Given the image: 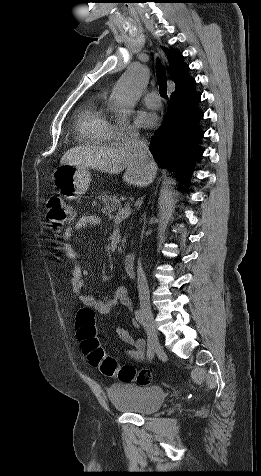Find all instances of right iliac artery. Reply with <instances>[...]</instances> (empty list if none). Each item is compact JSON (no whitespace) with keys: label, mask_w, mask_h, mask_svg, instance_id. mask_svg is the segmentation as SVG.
Instances as JSON below:
<instances>
[{"label":"right iliac artery","mask_w":261,"mask_h":476,"mask_svg":"<svg viewBox=\"0 0 261 476\" xmlns=\"http://www.w3.org/2000/svg\"><path fill=\"white\" fill-rule=\"evenodd\" d=\"M135 318L146 329L145 330V335H147V337H148L147 356H148L149 359H153L154 354H155L154 347H155L156 344L154 342V337L152 336L150 330H148L144 312L140 309L136 310L135 311Z\"/></svg>","instance_id":"right-iliac-artery-1"}]
</instances>
